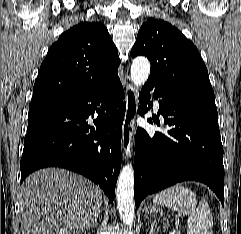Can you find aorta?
Listing matches in <instances>:
<instances>
[{
    "label": "aorta",
    "instance_id": "762f6f07",
    "mask_svg": "<svg viewBox=\"0 0 241 234\" xmlns=\"http://www.w3.org/2000/svg\"><path fill=\"white\" fill-rule=\"evenodd\" d=\"M150 74V62L143 56L136 57L131 65V80L136 87L142 86ZM117 209L123 223L130 225L135 217L134 170L127 163L121 170L117 183Z\"/></svg>",
    "mask_w": 241,
    "mask_h": 234
}]
</instances>
